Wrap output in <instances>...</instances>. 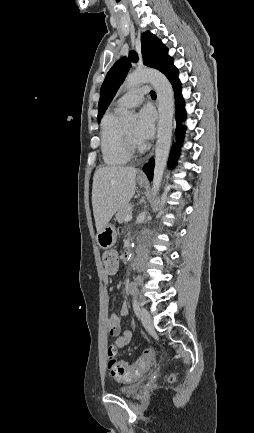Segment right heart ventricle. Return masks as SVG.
<instances>
[{"label": "right heart ventricle", "mask_w": 254, "mask_h": 433, "mask_svg": "<svg viewBox=\"0 0 254 433\" xmlns=\"http://www.w3.org/2000/svg\"><path fill=\"white\" fill-rule=\"evenodd\" d=\"M117 110L107 112L101 122L100 147L102 159L109 166H121L130 160V155L125 151L121 127L117 123Z\"/></svg>", "instance_id": "right-heart-ventricle-1"}]
</instances>
